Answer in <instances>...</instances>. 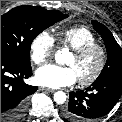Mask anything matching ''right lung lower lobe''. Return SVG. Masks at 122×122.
<instances>
[{"mask_svg":"<svg viewBox=\"0 0 122 122\" xmlns=\"http://www.w3.org/2000/svg\"><path fill=\"white\" fill-rule=\"evenodd\" d=\"M31 75V65L1 54V122H19L25 115L29 96L38 89L23 82Z\"/></svg>","mask_w":122,"mask_h":122,"instance_id":"98d812e1","label":"right lung lower lobe"}]
</instances>
